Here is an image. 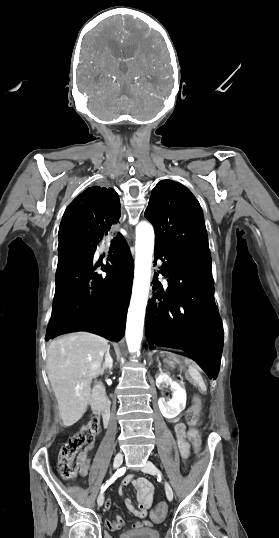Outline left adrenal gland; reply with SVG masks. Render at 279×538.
I'll return each instance as SVG.
<instances>
[{
	"label": "left adrenal gland",
	"instance_id": "obj_1",
	"mask_svg": "<svg viewBox=\"0 0 279 538\" xmlns=\"http://www.w3.org/2000/svg\"><path fill=\"white\" fill-rule=\"evenodd\" d=\"M157 362H158V364H159V366H158V368H159V372H161V364H160L158 358H157Z\"/></svg>",
	"mask_w": 279,
	"mask_h": 538
}]
</instances>
